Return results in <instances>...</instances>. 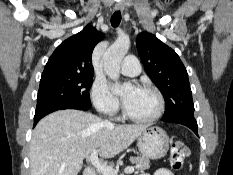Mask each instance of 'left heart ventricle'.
<instances>
[{
    "label": "left heart ventricle",
    "mask_w": 233,
    "mask_h": 175,
    "mask_svg": "<svg viewBox=\"0 0 233 175\" xmlns=\"http://www.w3.org/2000/svg\"><path fill=\"white\" fill-rule=\"evenodd\" d=\"M123 100L128 112L136 117H148L157 109L156 96L148 90L128 88L123 93Z\"/></svg>",
    "instance_id": "b2bd125f"
}]
</instances>
